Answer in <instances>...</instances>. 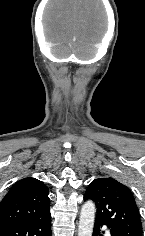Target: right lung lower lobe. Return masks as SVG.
Here are the masks:
<instances>
[{"label":"right lung lower lobe","instance_id":"right-lung-lower-lobe-1","mask_svg":"<svg viewBox=\"0 0 145 236\" xmlns=\"http://www.w3.org/2000/svg\"><path fill=\"white\" fill-rule=\"evenodd\" d=\"M51 214L0 227V236H51Z\"/></svg>","mask_w":145,"mask_h":236}]
</instances>
